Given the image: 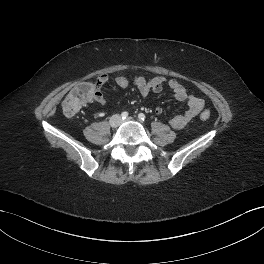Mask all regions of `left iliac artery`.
Here are the masks:
<instances>
[{
  "label": "left iliac artery",
  "mask_w": 264,
  "mask_h": 264,
  "mask_svg": "<svg viewBox=\"0 0 264 264\" xmlns=\"http://www.w3.org/2000/svg\"><path fill=\"white\" fill-rule=\"evenodd\" d=\"M138 118H139L140 120L144 121L146 117H145V115H144L143 113H140V114L138 115Z\"/></svg>",
  "instance_id": "44dca946"
}]
</instances>
